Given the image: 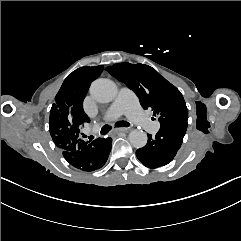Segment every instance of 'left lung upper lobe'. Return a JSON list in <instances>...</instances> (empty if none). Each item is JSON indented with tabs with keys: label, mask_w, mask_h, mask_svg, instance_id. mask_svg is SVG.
<instances>
[{
	"label": "left lung upper lobe",
	"mask_w": 241,
	"mask_h": 241,
	"mask_svg": "<svg viewBox=\"0 0 241 241\" xmlns=\"http://www.w3.org/2000/svg\"><path fill=\"white\" fill-rule=\"evenodd\" d=\"M106 70L136 93L144 109L154 110L161 125L187 124L188 109L181 92L154 68L145 64L118 63Z\"/></svg>",
	"instance_id": "left-lung-upper-lobe-1"
}]
</instances>
